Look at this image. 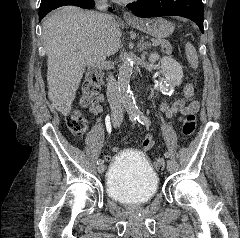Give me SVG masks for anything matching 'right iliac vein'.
<instances>
[{
	"label": "right iliac vein",
	"instance_id": "right-iliac-vein-1",
	"mask_svg": "<svg viewBox=\"0 0 240 238\" xmlns=\"http://www.w3.org/2000/svg\"><path fill=\"white\" fill-rule=\"evenodd\" d=\"M98 172L100 174H102L105 171V165L104 164H100L97 168Z\"/></svg>",
	"mask_w": 240,
	"mask_h": 238
}]
</instances>
